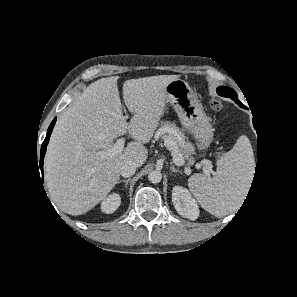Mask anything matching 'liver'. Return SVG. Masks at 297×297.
<instances>
[{
	"instance_id": "obj_1",
	"label": "liver",
	"mask_w": 297,
	"mask_h": 297,
	"mask_svg": "<svg viewBox=\"0 0 297 297\" xmlns=\"http://www.w3.org/2000/svg\"><path fill=\"white\" fill-rule=\"evenodd\" d=\"M177 75L129 79L123 99L133 113L123 115L118 76L102 78L88 86L57 120L45 157V181L50 199L63 212L81 215L102 201L119 180L126 161L141 166L148 143L164 114L165 87ZM129 133L135 141L111 157L100 152L113 140Z\"/></svg>"
}]
</instances>
